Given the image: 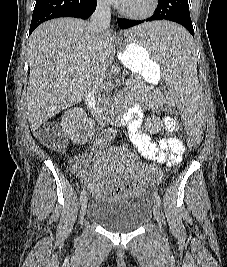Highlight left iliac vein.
<instances>
[{
	"label": "left iliac vein",
	"mask_w": 227,
	"mask_h": 267,
	"mask_svg": "<svg viewBox=\"0 0 227 267\" xmlns=\"http://www.w3.org/2000/svg\"><path fill=\"white\" fill-rule=\"evenodd\" d=\"M153 214H154L155 219L158 222L159 228L161 229V212H160V207L158 203L156 202L153 205Z\"/></svg>",
	"instance_id": "left-iliac-vein-1"
}]
</instances>
